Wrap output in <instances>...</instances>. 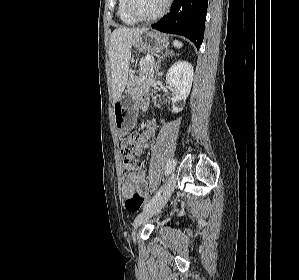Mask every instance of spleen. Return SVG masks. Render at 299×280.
I'll return each mask as SVG.
<instances>
[{
  "mask_svg": "<svg viewBox=\"0 0 299 280\" xmlns=\"http://www.w3.org/2000/svg\"><path fill=\"white\" fill-rule=\"evenodd\" d=\"M173 46L176 47L177 49H180L183 46V44L180 41L175 40L173 41Z\"/></svg>",
  "mask_w": 299,
  "mask_h": 280,
  "instance_id": "spleen-1",
  "label": "spleen"
}]
</instances>
